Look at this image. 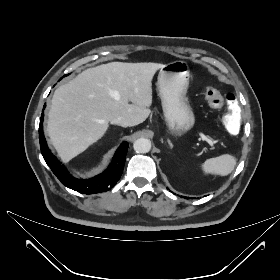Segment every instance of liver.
I'll return each instance as SVG.
<instances>
[{"mask_svg": "<svg viewBox=\"0 0 280 280\" xmlns=\"http://www.w3.org/2000/svg\"><path fill=\"white\" fill-rule=\"evenodd\" d=\"M163 66L111 62L89 68L57 88L47 131L59 156L69 161L85 151L115 118L125 117L130 126L144 122L151 113L153 76Z\"/></svg>", "mask_w": 280, "mask_h": 280, "instance_id": "obj_1", "label": "liver"}]
</instances>
